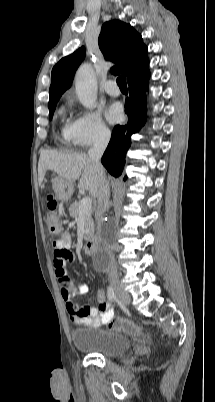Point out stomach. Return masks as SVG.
Returning a JSON list of instances; mask_svg holds the SVG:
<instances>
[{"label": "stomach", "instance_id": "stomach-1", "mask_svg": "<svg viewBox=\"0 0 215 402\" xmlns=\"http://www.w3.org/2000/svg\"><path fill=\"white\" fill-rule=\"evenodd\" d=\"M52 188L54 190L56 199L64 202L70 199L74 191L73 183L63 179L60 176L53 178Z\"/></svg>", "mask_w": 215, "mask_h": 402}]
</instances>
